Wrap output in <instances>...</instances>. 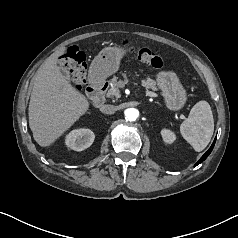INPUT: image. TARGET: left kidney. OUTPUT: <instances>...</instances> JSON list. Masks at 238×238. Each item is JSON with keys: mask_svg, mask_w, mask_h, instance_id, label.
<instances>
[{"mask_svg": "<svg viewBox=\"0 0 238 238\" xmlns=\"http://www.w3.org/2000/svg\"><path fill=\"white\" fill-rule=\"evenodd\" d=\"M161 136L163 141L168 144H172L176 140L175 133L169 129H162Z\"/></svg>", "mask_w": 238, "mask_h": 238, "instance_id": "5707ae66", "label": "left kidney"}]
</instances>
